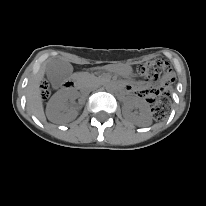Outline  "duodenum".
I'll return each instance as SVG.
<instances>
[{"label":"duodenum","mask_w":206,"mask_h":206,"mask_svg":"<svg viewBox=\"0 0 206 206\" xmlns=\"http://www.w3.org/2000/svg\"><path fill=\"white\" fill-rule=\"evenodd\" d=\"M77 87V82L73 79L66 81L64 84V88L66 89H76Z\"/></svg>","instance_id":"obj_1"}]
</instances>
